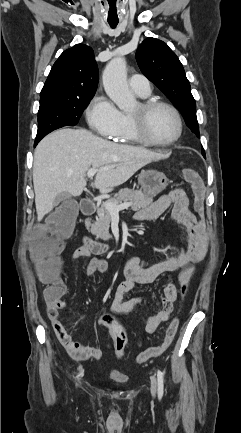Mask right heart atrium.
<instances>
[{
    "label": "right heart atrium",
    "instance_id": "right-heart-atrium-1",
    "mask_svg": "<svg viewBox=\"0 0 241 433\" xmlns=\"http://www.w3.org/2000/svg\"><path fill=\"white\" fill-rule=\"evenodd\" d=\"M86 114L90 127L102 136L113 137L121 128L122 113L104 95H98L91 101Z\"/></svg>",
    "mask_w": 241,
    "mask_h": 433
}]
</instances>
